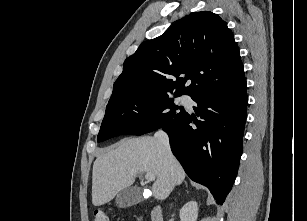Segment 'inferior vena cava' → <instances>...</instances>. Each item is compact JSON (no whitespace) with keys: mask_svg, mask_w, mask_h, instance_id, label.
<instances>
[{"mask_svg":"<svg viewBox=\"0 0 307 221\" xmlns=\"http://www.w3.org/2000/svg\"><path fill=\"white\" fill-rule=\"evenodd\" d=\"M155 138L158 139L159 142H161L164 145L168 153L171 154L168 135L164 131L160 130L155 133ZM174 186H175V183L172 182L170 190H172Z\"/></svg>","mask_w":307,"mask_h":221,"instance_id":"1","label":"inferior vena cava"}]
</instances>
